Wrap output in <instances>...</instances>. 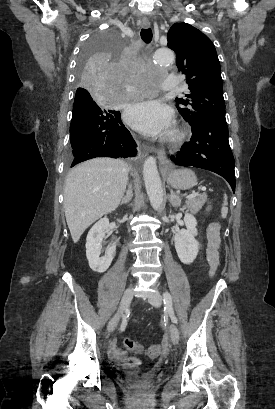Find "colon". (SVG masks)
<instances>
[{"instance_id":"5ec220e1","label":"colon","mask_w":275,"mask_h":409,"mask_svg":"<svg viewBox=\"0 0 275 409\" xmlns=\"http://www.w3.org/2000/svg\"><path fill=\"white\" fill-rule=\"evenodd\" d=\"M211 208V206L209 205L207 207V211H209ZM137 342L133 341V340H128L126 342V347L128 349H131L132 351L135 349L136 351L139 349L137 347ZM148 352L146 353L148 355L149 358H158L159 357V350L161 349V344L159 342H150L148 344ZM141 351V352H140ZM137 354L140 356H142L144 354V352L146 351L144 348H142Z\"/></svg>"}]
</instances>
